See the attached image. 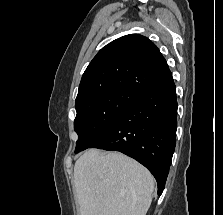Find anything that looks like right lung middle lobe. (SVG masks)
I'll return each instance as SVG.
<instances>
[{
	"label": "right lung middle lobe",
	"instance_id": "obj_1",
	"mask_svg": "<svg viewBox=\"0 0 223 215\" xmlns=\"http://www.w3.org/2000/svg\"><path fill=\"white\" fill-rule=\"evenodd\" d=\"M140 96L129 90H114L76 106L74 129L78 140L75 153L97 142Z\"/></svg>",
	"mask_w": 223,
	"mask_h": 215
}]
</instances>
